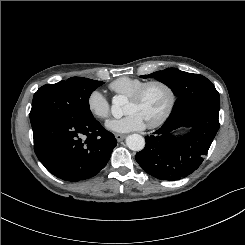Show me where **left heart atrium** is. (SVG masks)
Listing matches in <instances>:
<instances>
[{"label":"left heart atrium","instance_id":"left-heart-atrium-1","mask_svg":"<svg viewBox=\"0 0 245 245\" xmlns=\"http://www.w3.org/2000/svg\"><path fill=\"white\" fill-rule=\"evenodd\" d=\"M146 126L143 119L136 113H129L121 118L110 120L107 128L118 133L142 130Z\"/></svg>","mask_w":245,"mask_h":245}]
</instances>
